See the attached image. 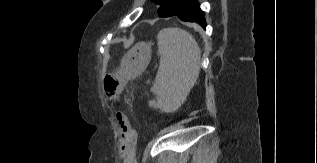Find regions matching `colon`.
<instances>
[{"instance_id":"5ec220e1","label":"colon","mask_w":317,"mask_h":163,"mask_svg":"<svg viewBox=\"0 0 317 163\" xmlns=\"http://www.w3.org/2000/svg\"><path fill=\"white\" fill-rule=\"evenodd\" d=\"M104 87L109 99L116 100L119 98L122 91V83L117 77H108L104 82Z\"/></svg>"}]
</instances>
